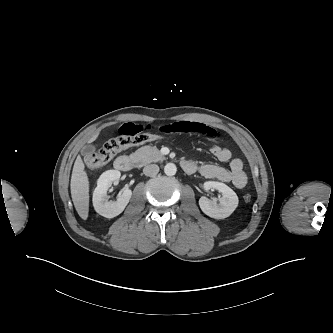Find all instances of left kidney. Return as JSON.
I'll use <instances>...</instances> for the list:
<instances>
[{
	"mask_svg": "<svg viewBox=\"0 0 333 333\" xmlns=\"http://www.w3.org/2000/svg\"><path fill=\"white\" fill-rule=\"evenodd\" d=\"M204 188L217 189L222 193V197L217 203V199L210 200L206 197L199 199V206L203 213L214 219H224L230 216L238 206L237 194L226 184L217 181H207L204 183Z\"/></svg>",
	"mask_w": 333,
	"mask_h": 333,
	"instance_id": "left-kidney-1",
	"label": "left kidney"
}]
</instances>
